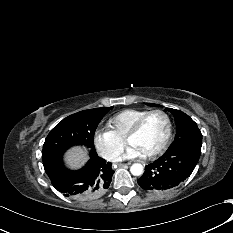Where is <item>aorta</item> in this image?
Masks as SVG:
<instances>
[{
  "label": "aorta",
  "mask_w": 233,
  "mask_h": 233,
  "mask_svg": "<svg viewBox=\"0 0 233 233\" xmlns=\"http://www.w3.org/2000/svg\"><path fill=\"white\" fill-rule=\"evenodd\" d=\"M130 172L134 176H140L143 173V166L139 163H135L130 167Z\"/></svg>",
  "instance_id": "762f6f07"
}]
</instances>
